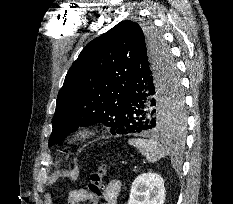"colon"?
I'll use <instances>...</instances> for the list:
<instances>
[{
    "label": "colon",
    "instance_id": "5ec220e1",
    "mask_svg": "<svg viewBox=\"0 0 233 204\" xmlns=\"http://www.w3.org/2000/svg\"><path fill=\"white\" fill-rule=\"evenodd\" d=\"M108 178V166L106 164L100 165L90 174V181L85 194L82 189H72L68 193V204H82L85 197L92 200H97L102 195L103 185Z\"/></svg>",
    "mask_w": 233,
    "mask_h": 204
}]
</instances>
